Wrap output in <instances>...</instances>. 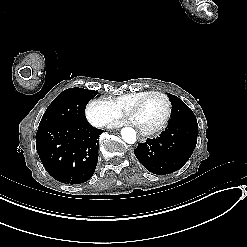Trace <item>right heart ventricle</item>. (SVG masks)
<instances>
[{"mask_svg": "<svg viewBox=\"0 0 247 247\" xmlns=\"http://www.w3.org/2000/svg\"><path fill=\"white\" fill-rule=\"evenodd\" d=\"M151 90H144L140 92H132L123 95L115 100H111L116 105H126V106H133L136 101L145 100L147 97L148 92Z\"/></svg>", "mask_w": 247, "mask_h": 247, "instance_id": "obj_1", "label": "right heart ventricle"}]
</instances>
